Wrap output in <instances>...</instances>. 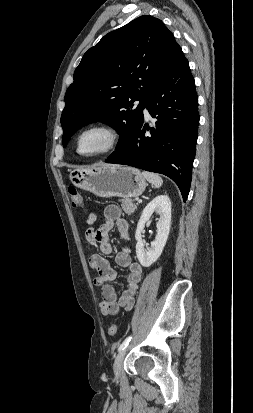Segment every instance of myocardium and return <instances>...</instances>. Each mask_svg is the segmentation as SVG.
<instances>
[{
  "label": "myocardium",
  "instance_id": "myocardium-1",
  "mask_svg": "<svg viewBox=\"0 0 253 413\" xmlns=\"http://www.w3.org/2000/svg\"><path fill=\"white\" fill-rule=\"evenodd\" d=\"M92 130H101L105 132L108 135V141L101 150L91 154H84L79 149V142L85 133ZM121 141L122 134L114 125L104 121H97L86 125L77 133L75 138V148L76 152L83 157H97L115 151L121 144Z\"/></svg>",
  "mask_w": 253,
  "mask_h": 413
}]
</instances>
